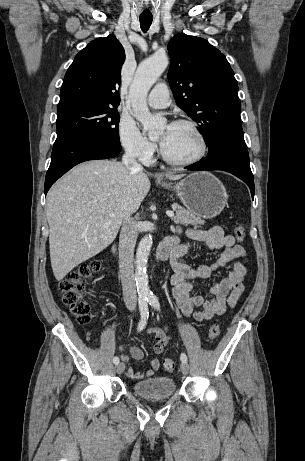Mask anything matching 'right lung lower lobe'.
I'll list each match as a JSON object with an SVG mask.
<instances>
[{
  "label": "right lung lower lobe",
  "mask_w": 305,
  "mask_h": 461,
  "mask_svg": "<svg viewBox=\"0 0 305 461\" xmlns=\"http://www.w3.org/2000/svg\"><path fill=\"white\" fill-rule=\"evenodd\" d=\"M120 151L121 147L92 137L55 141L45 178V195L52 184L75 165L88 160L112 158Z\"/></svg>",
  "instance_id": "right-lung-lower-lobe-1"
}]
</instances>
